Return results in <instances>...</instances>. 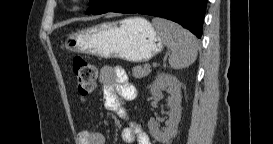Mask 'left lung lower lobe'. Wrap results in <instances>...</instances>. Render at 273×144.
<instances>
[{
    "mask_svg": "<svg viewBox=\"0 0 273 144\" xmlns=\"http://www.w3.org/2000/svg\"><path fill=\"white\" fill-rule=\"evenodd\" d=\"M206 5L207 0H108L93 15L116 12L163 17L181 24L200 38Z\"/></svg>",
    "mask_w": 273,
    "mask_h": 144,
    "instance_id": "obj_1",
    "label": "left lung lower lobe"
}]
</instances>
